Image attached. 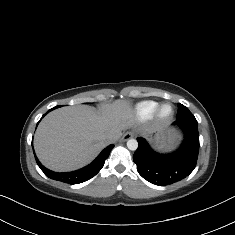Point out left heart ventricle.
<instances>
[{
    "instance_id": "left-heart-ventricle-1",
    "label": "left heart ventricle",
    "mask_w": 235,
    "mask_h": 235,
    "mask_svg": "<svg viewBox=\"0 0 235 235\" xmlns=\"http://www.w3.org/2000/svg\"><path fill=\"white\" fill-rule=\"evenodd\" d=\"M161 113L164 117H169L172 113L171 105H166L162 108Z\"/></svg>"
}]
</instances>
